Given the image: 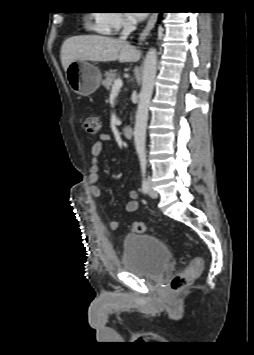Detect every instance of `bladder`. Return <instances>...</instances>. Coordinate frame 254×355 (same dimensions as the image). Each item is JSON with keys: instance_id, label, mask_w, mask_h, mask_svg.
Wrapping results in <instances>:
<instances>
[{"instance_id": "bladder-1", "label": "bladder", "mask_w": 254, "mask_h": 355, "mask_svg": "<svg viewBox=\"0 0 254 355\" xmlns=\"http://www.w3.org/2000/svg\"><path fill=\"white\" fill-rule=\"evenodd\" d=\"M170 252L164 242L149 235H126L122 264L126 271L156 280L169 267Z\"/></svg>"}]
</instances>
